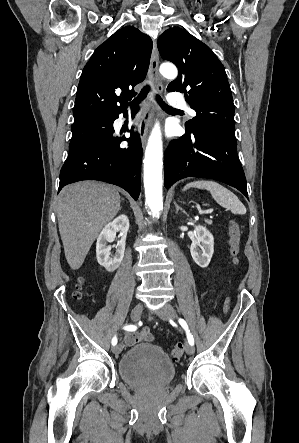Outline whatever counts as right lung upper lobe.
Returning <instances> with one entry per match:
<instances>
[{
    "mask_svg": "<svg viewBox=\"0 0 299 443\" xmlns=\"http://www.w3.org/2000/svg\"><path fill=\"white\" fill-rule=\"evenodd\" d=\"M152 40L133 26L115 32L93 53L81 74L74 123L110 116L127 108L135 85L146 76Z\"/></svg>",
    "mask_w": 299,
    "mask_h": 443,
    "instance_id": "obj_1",
    "label": "right lung upper lobe"
}]
</instances>
